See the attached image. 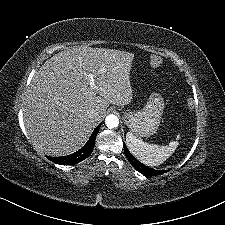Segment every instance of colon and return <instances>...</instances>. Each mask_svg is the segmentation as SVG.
Segmentation results:
<instances>
[{
	"label": "colon",
	"instance_id": "obj_1",
	"mask_svg": "<svg viewBox=\"0 0 225 225\" xmlns=\"http://www.w3.org/2000/svg\"><path fill=\"white\" fill-rule=\"evenodd\" d=\"M161 62H162L161 58L156 55L150 57V64L152 66H159Z\"/></svg>",
	"mask_w": 225,
	"mask_h": 225
}]
</instances>
